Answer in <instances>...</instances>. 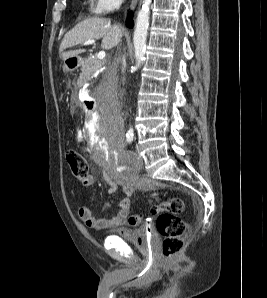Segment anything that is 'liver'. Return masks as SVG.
<instances>
[{
    "instance_id": "liver-1",
    "label": "liver",
    "mask_w": 267,
    "mask_h": 298,
    "mask_svg": "<svg viewBox=\"0 0 267 298\" xmlns=\"http://www.w3.org/2000/svg\"><path fill=\"white\" fill-rule=\"evenodd\" d=\"M122 35L121 27L116 24L112 25L109 19L99 17L85 19L64 36L59 47L60 58L65 61L69 58L78 57L79 54L85 52V49L65 50L92 39H102L101 47L111 49L118 45Z\"/></svg>"
}]
</instances>
